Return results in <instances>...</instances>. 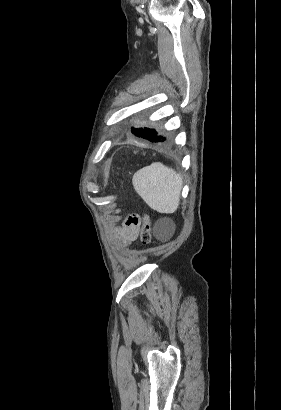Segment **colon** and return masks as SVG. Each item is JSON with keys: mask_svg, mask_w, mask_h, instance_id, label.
Segmentation results:
<instances>
[{"mask_svg": "<svg viewBox=\"0 0 281 410\" xmlns=\"http://www.w3.org/2000/svg\"><path fill=\"white\" fill-rule=\"evenodd\" d=\"M129 220L139 225V239L143 245H148L151 241L149 216L147 214L132 215Z\"/></svg>", "mask_w": 281, "mask_h": 410, "instance_id": "obj_1", "label": "colon"}]
</instances>
